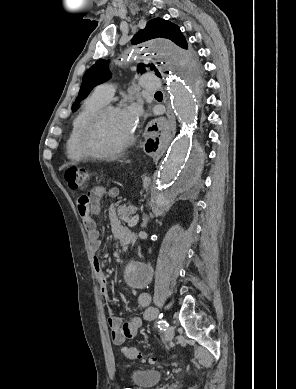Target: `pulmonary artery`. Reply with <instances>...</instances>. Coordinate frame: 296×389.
<instances>
[{"mask_svg": "<svg viewBox=\"0 0 296 389\" xmlns=\"http://www.w3.org/2000/svg\"><path fill=\"white\" fill-rule=\"evenodd\" d=\"M140 85L147 90L155 91L159 89L160 82L152 74L143 76L140 80ZM115 93V87L111 83H103L95 87L94 93L98 98L104 102H109Z\"/></svg>", "mask_w": 296, "mask_h": 389, "instance_id": "e3ab8cb5", "label": "pulmonary artery"}]
</instances>
